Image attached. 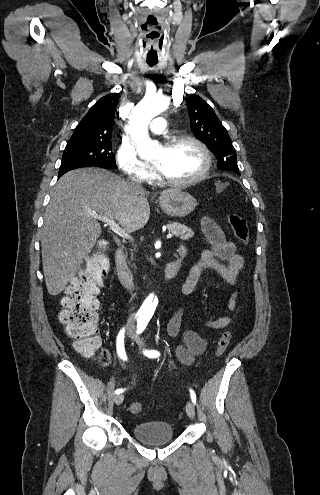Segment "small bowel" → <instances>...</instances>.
Returning a JSON list of instances; mask_svg holds the SVG:
<instances>
[{"label":"small bowel","mask_w":320,"mask_h":495,"mask_svg":"<svg viewBox=\"0 0 320 495\" xmlns=\"http://www.w3.org/2000/svg\"><path fill=\"white\" fill-rule=\"evenodd\" d=\"M202 230L205 234L210 248L202 253L201 259L191 268L182 292L185 296L193 293L202 272L206 269L214 271L224 281L231 285H236L238 275L245 269V260L237 252L236 245L230 241L220 226L211 218H205L202 222ZM238 292L233 291L228 308L236 309ZM185 307L179 308L168 321L166 326L167 334L175 337L182 335L184 345L175 347L177 359L184 365H191L195 357L203 354L207 348V340L190 327H183ZM232 322L230 316H222L213 320H206L204 327L218 330L228 327Z\"/></svg>","instance_id":"1"}]
</instances>
